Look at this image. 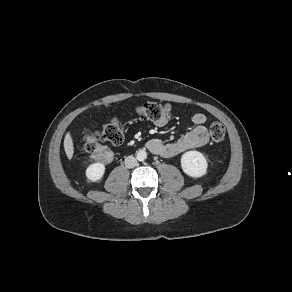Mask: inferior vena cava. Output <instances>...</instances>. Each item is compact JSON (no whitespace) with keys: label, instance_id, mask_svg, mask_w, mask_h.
<instances>
[{"label":"inferior vena cava","instance_id":"1","mask_svg":"<svg viewBox=\"0 0 292 292\" xmlns=\"http://www.w3.org/2000/svg\"><path fill=\"white\" fill-rule=\"evenodd\" d=\"M137 165V159L133 156H128L125 158V166L127 168H133Z\"/></svg>","mask_w":292,"mask_h":292}]
</instances>
